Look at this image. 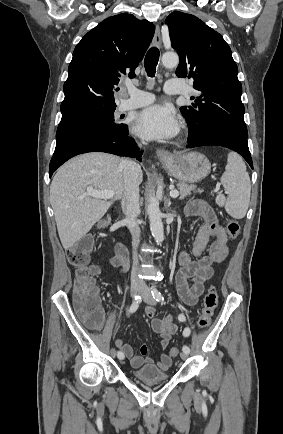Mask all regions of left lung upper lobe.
<instances>
[{
	"mask_svg": "<svg viewBox=\"0 0 283 434\" xmlns=\"http://www.w3.org/2000/svg\"><path fill=\"white\" fill-rule=\"evenodd\" d=\"M165 23L180 57L176 75L193 79L199 94L192 98L195 104L180 108L189 124L188 140L216 132L248 138L238 68L223 37L194 15L179 11Z\"/></svg>",
	"mask_w": 283,
	"mask_h": 434,
	"instance_id": "obj_1",
	"label": "left lung upper lobe"
}]
</instances>
